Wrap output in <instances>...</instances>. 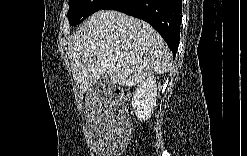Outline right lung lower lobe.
I'll return each instance as SVG.
<instances>
[{
	"mask_svg": "<svg viewBox=\"0 0 247 156\" xmlns=\"http://www.w3.org/2000/svg\"><path fill=\"white\" fill-rule=\"evenodd\" d=\"M101 9L120 11L148 22L175 56L180 39L181 0H108Z\"/></svg>",
	"mask_w": 247,
	"mask_h": 156,
	"instance_id": "right-lung-lower-lobe-1",
	"label": "right lung lower lobe"
}]
</instances>
